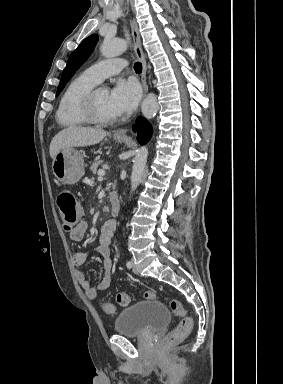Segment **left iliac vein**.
I'll return each instance as SVG.
<instances>
[{
  "mask_svg": "<svg viewBox=\"0 0 283 384\" xmlns=\"http://www.w3.org/2000/svg\"><path fill=\"white\" fill-rule=\"evenodd\" d=\"M131 262H132V270H133V272H134L135 274H138L139 271H138V268L136 267V265L134 264L133 259L131 260Z\"/></svg>",
  "mask_w": 283,
  "mask_h": 384,
  "instance_id": "left-iliac-vein-1",
  "label": "left iliac vein"
}]
</instances>
